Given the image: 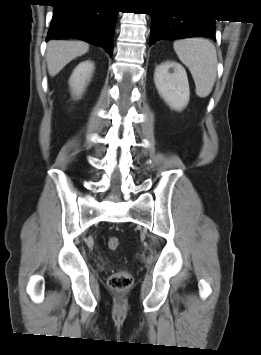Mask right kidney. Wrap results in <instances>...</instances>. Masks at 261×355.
Masks as SVG:
<instances>
[{"label":"right kidney","mask_w":261,"mask_h":355,"mask_svg":"<svg viewBox=\"0 0 261 355\" xmlns=\"http://www.w3.org/2000/svg\"><path fill=\"white\" fill-rule=\"evenodd\" d=\"M93 70L94 64L89 60L83 61L77 65L69 79V84L73 95L79 98V96L84 91Z\"/></svg>","instance_id":"1"}]
</instances>
